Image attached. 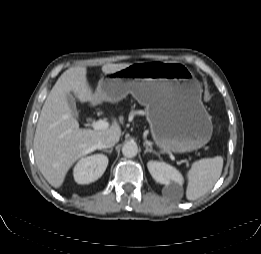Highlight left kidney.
Here are the masks:
<instances>
[{
  "instance_id": "left-kidney-1",
  "label": "left kidney",
  "mask_w": 261,
  "mask_h": 254,
  "mask_svg": "<svg viewBox=\"0 0 261 254\" xmlns=\"http://www.w3.org/2000/svg\"><path fill=\"white\" fill-rule=\"evenodd\" d=\"M147 167L153 179L160 184L182 186L184 182L182 174L165 162L151 160L147 163Z\"/></svg>"
}]
</instances>
